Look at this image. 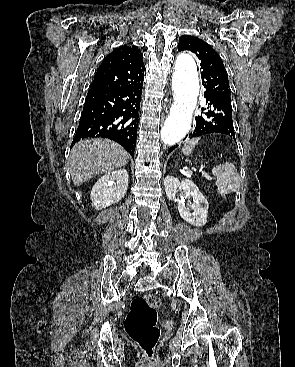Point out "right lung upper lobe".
Instances as JSON below:
<instances>
[{"instance_id": "obj_1", "label": "right lung upper lobe", "mask_w": 295, "mask_h": 367, "mask_svg": "<svg viewBox=\"0 0 295 367\" xmlns=\"http://www.w3.org/2000/svg\"><path fill=\"white\" fill-rule=\"evenodd\" d=\"M143 56L136 46H121L99 66L91 88L126 89L143 84Z\"/></svg>"}]
</instances>
